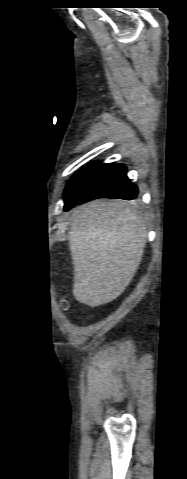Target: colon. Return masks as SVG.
Wrapping results in <instances>:
<instances>
[{
	"label": "colon",
	"mask_w": 187,
	"mask_h": 479,
	"mask_svg": "<svg viewBox=\"0 0 187 479\" xmlns=\"http://www.w3.org/2000/svg\"><path fill=\"white\" fill-rule=\"evenodd\" d=\"M62 307H63V308H67V303L63 302V303H62Z\"/></svg>",
	"instance_id": "obj_1"
}]
</instances>
